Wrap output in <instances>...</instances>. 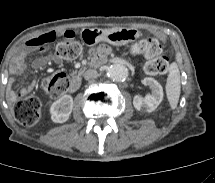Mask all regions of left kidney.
Returning <instances> with one entry per match:
<instances>
[{"label": "left kidney", "mask_w": 215, "mask_h": 183, "mask_svg": "<svg viewBox=\"0 0 215 183\" xmlns=\"http://www.w3.org/2000/svg\"><path fill=\"white\" fill-rule=\"evenodd\" d=\"M143 84L151 88L152 93L141 97L139 95L134 96L133 105L138 111L152 112L163 99V88L155 79L146 77L143 79Z\"/></svg>", "instance_id": "left-kidney-1"}]
</instances>
